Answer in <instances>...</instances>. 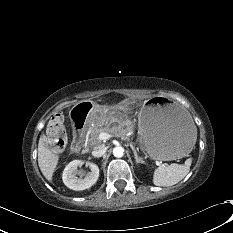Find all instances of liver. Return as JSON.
I'll use <instances>...</instances> for the list:
<instances>
[{"label": "liver", "mask_w": 233, "mask_h": 233, "mask_svg": "<svg viewBox=\"0 0 233 233\" xmlns=\"http://www.w3.org/2000/svg\"><path fill=\"white\" fill-rule=\"evenodd\" d=\"M117 109L127 110V108L124 107H118ZM45 144L46 140L42 135L38 144V165L44 177L48 181H51L59 161V156L55 152L51 151L48 147H46Z\"/></svg>", "instance_id": "6515ba94"}]
</instances>
